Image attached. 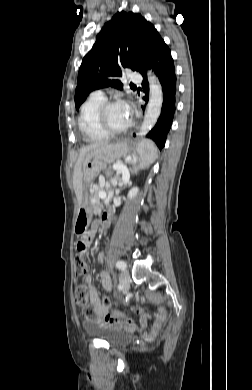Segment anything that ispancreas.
Returning a JSON list of instances; mask_svg holds the SVG:
<instances>
[{
    "mask_svg": "<svg viewBox=\"0 0 252 390\" xmlns=\"http://www.w3.org/2000/svg\"><path fill=\"white\" fill-rule=\"evenodd\" d=\"M90 203L93 206L94 216L95 217H100L101 216V212H103V209H102L103 205L100 202H93L92 201V197H90Z\"/></svg>",
    "mask_w": 252,
    "mask_h": 390,
    "instance_id": "obj_1",
    "label": "pancreas"
}]
</instances>
